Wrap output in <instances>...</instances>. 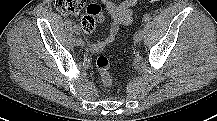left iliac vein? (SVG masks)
<instances>
[{"label":"left iliac vein","instance_id":"1","mask_svg":"<svg viewBox=\"0 0 217 121\" xmlns=\"http://www.w3.org/2000/svg\"><path fill=\"white\" fill-rule=\"evenodd\" d=\"M134 41L136 43H139L142 41L143 39V31L142 30H138L135 32L134 37H133Z\"/></svg>","mask_w":217,"mask_h":121}]
</instances>
